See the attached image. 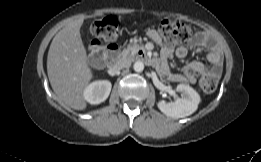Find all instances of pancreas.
<instances>
[{
	"instance_id": "cf45deb5",
	"label": "pancreas",
	"mask_w": 261,
	"mask_h": 162,
	"mask_svg": "<svg viewBox=\"0 0 261 162\" xmlns=\"http://www.w3.org/2000/svg\"><path fill=\"white\" fill-rule=\"evenodd\" d=\"M145 53V48L143 45L138 43H131L122 51V57L133 59L138 54L139 51Z\"/></svg>"
}]
</instances>
